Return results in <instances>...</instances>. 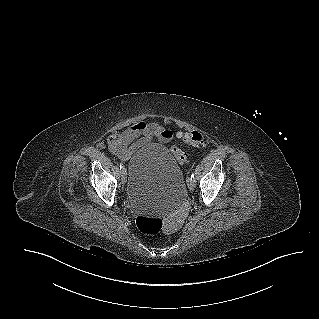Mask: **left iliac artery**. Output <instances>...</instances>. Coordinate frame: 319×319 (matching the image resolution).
<instances>
[{
    "mask_svg": "<svg viewBox=\"0 0 319 319\" xmlns=\"http://www.w3.org/2000/svg\"><path fill=\"white\" fill-rule=\"evenodd\" d=\"M190 180L196 183L195 176H194L193 173H192L191 176H190Z\"/></svg>",
    "mask_w": 319,
    "mask_h": 319,
    "instance_id": "left-iliac-artery-1",
    "label": "left iliac artery"
}]
</instances>
